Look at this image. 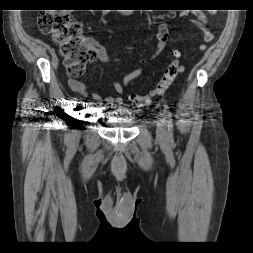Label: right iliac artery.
Instances as JSON below:
<instances>
[{"mask_svg":"<svg viewBox=\"0 0 253 253\" xmlns=\"http://www.w3.org/2000/svg\"><path fill=\"white\" fill-rule=\"evenodd\" d=\"M78 98L74 97L73 100L71 101V104L69 105V108L67 110V125H70L71 123V119H72V115L76 109V104H77ZM67 132H66V138H69V134H70V129L69 126H66Z\"/></svg>","mask_w":253,"mask_h":253,"instance_id":"1","label":"right iliac artery"}]
</instances>
